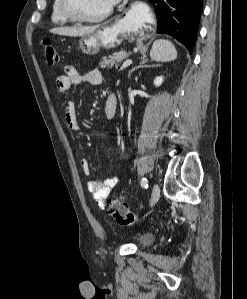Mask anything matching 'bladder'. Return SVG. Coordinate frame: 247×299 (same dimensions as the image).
Instances as JSON below:
<instances>
[{
    "mask_svg": "<svg viewBox=\"0 0 247 299\" xmlns=\"http://www.w3.org/2000/svg\"><path fill=\"white\" fill-rule=\"evenodd\" d=\"M154 236L151 233H141L136 237V244L140 247H147L152 244Z\"/></svg>",
    "mask_w": 247,
    "mask_h": 299,
    "instance_id": "obj_1",
    "label": "bladder"
}]
</instances>
